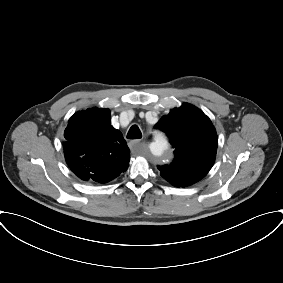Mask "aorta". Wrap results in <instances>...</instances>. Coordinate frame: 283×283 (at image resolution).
<instances>
[{
    "label": "aorta",
    "instance_id": "762f6f07",
    "mask_svg": "<svg viewBox=\"0 0 283 283\" xmlns=\"http://www.w3.org/2000/svg\"><path fill=\"white\" fill-rule=\"evenodd\" d=\"M168 149V143L163 138H156L153 143L150 144V151L154 157L159 160L164 159Z\"/></svg>",
    "mask_w": 283,
    "mask_h": 283
}]
</instances>
